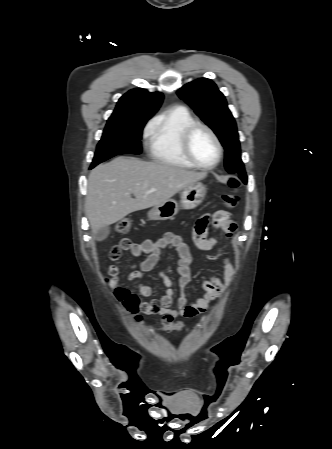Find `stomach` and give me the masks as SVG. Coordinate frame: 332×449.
<instances>
[{
  "mask_svg": "<svg viewBox=\"0 0 332 449\" xmlns=\"http://www.w3.org/2000/svg\"><path fill=\"white\" fill-rule=\"evenodd\" d=\"M205 195L206 187L202 183L196 182L191 184L183 189L180 196V203L174 199H169L160 205L154 206L148 212V218L150 220L172 219L180 208L191 210L199 206L204 200Z\"/></svg>",
  "mask_w": 332,
  "mask_h": 449,
  "instance_id": "obj_1",
  "label": "stomach"
}]
</instances>
